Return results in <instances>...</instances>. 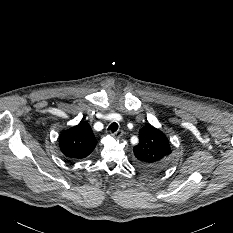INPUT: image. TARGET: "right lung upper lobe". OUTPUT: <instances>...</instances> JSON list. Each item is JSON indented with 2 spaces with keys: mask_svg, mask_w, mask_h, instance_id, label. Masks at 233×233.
<instances>
[{
  "mask_svg": "<svg viewBox=\"0 0 233 233\" xmlns=\"http://www.w3.org/2000/svg\"><path fill=\"white\" fill-rule=\"evenodd\" d=\"M97 144L96 138L87 122L63 131L59 138V146L62 153L73 159H81L88 156Z\"/></svg>",
  "mask_w": 233,
  "mask_h": 233,
  "instance_id": "right-lung-upper-lobe-1",
  "label": "right lung upper lobe"
}]
</instances>
